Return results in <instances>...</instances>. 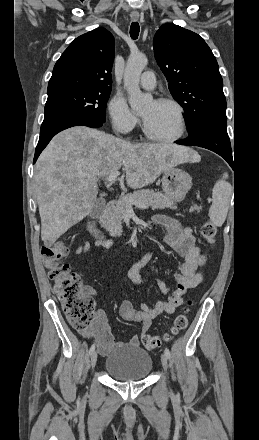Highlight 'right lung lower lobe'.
Masks as SVG:
<instances>
[{
	"label": "right lung lower lobe",
	"instance_id": "98d812e1",
	"mask_svg": "<svg viewBox=\"0 0 259 440\" xmlns=\"http://www.w3.org/2000/svg\"><path fill=\"white\" fill-rule=\"evenodd\" d=\"M102 125L103 123L101 122L79 116H67L43 122L40 129V137L35 150L33 163L36 162L38 156L47 146L50 140L60 131L73 126L101 127Z\"/></svg>",
	"mask_w": 259,
	"mask_h": 440
}]
</instances>
